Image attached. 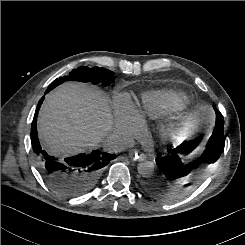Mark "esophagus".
Masks as SVG:
<instances>
[{
	"mask_svg": "<svg viewBox=\"0 0 245 245\" xmlns=\"http://www.w3.org/2000/svg\"><path fill=\"white\" fill-rule=\"evenodd\" d=\"M129 157L134 161H144L146 159V155L144 153H138L137 151H130Z\"/></svg>",
	"mask_w": 245,
	"mask_h": 245,
	"instance_id": "esophagus-1",
	"label": "esophagus"
}]
</instances>
